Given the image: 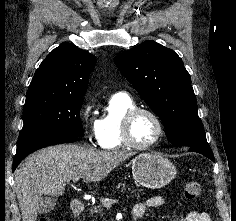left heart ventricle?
<instances>
[{
  "label": "left heart ventricle",
  "instance_id": "b2bd125f",
  "mask_svg": "<svg viewBox=\"0 0 236 221\" xmlns=\"http://www.w3.org/2000/svg\"><path fill=\"white\" fill-rule=\"evenodd\" d=\"M158 128L154 119L147 114H139L133 120L131 135L138 144H147L155 139Z\"/></svg>",
  "mask_w": 236,
  "mask_h": 221
}]
</instances>
